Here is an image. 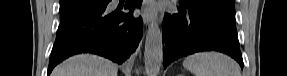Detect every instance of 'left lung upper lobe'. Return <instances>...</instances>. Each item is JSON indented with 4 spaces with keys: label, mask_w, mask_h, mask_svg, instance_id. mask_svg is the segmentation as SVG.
Here are the masks:
<instances>
[{
    "label": "left lung upper lobe",
    "mask_w": 287,
    "mask_h": 76,
    "mask_svg": "<svg viewBox=\"0 0 287 76\" xmlns=\"http://www.w3.org/2000/svg\"><path fill=\"white\" fill-rule=\"evenodd\" d=\"M180 3L193 7L236 29L235 0H181Z\"/></svg>",
    "instance_id": "1"
}]
</instances>
